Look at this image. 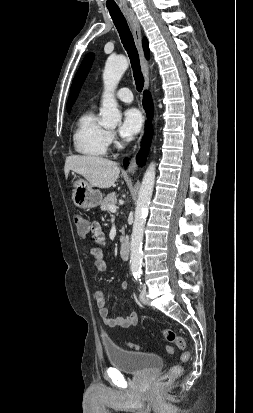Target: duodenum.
<instances>
[{"mask_svg": "<svg viewBox=\"0 0 253 413\" xmlns=\"http://www.w3.org/2000/svg\"><path fill=\"white\" fill-rule=\"evenodd\" d=\"M120 257L123 261H127L130 257V243L127 237L123 238L121 242Z\"/></svg>", "mask_w": 253, "mask_h": 413, "instance_id": "1", "label": "duodenum"}]
</instances>
